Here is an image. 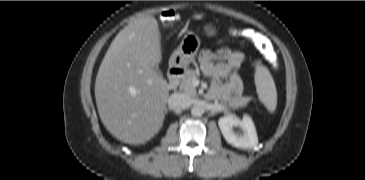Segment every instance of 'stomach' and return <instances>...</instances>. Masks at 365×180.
<instances>
[{
    "label": "stomach",
    "instance_id": "stomach-1",
    "mask_svg": "<svg viewBox=\"0 0 365 180\" xmlns=\"http://www.w3.org/2000/svg\"><path fill=\"white\" fill-rule=\"evenodd\" d=\"M204 34L208 38H213L217 35L216 27L209 23L203 26ZM201 45L200 37L192 32L184 35L180 45L172 53L169 65L174 68H186L197 55Z\"/></svg>",
    "mask_w": 365,
    "mask_h": 180
}]
</instances>
